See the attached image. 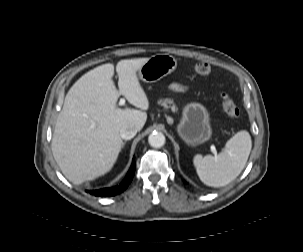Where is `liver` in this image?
I'll return each mask as SVG.
<instances>
[{
  "label": "liver",
  "mask_w": 303,
  "mask_h": 252,
  "mask_svg": "<svg viewBox=\"0 0 303 252\" xmlns=\"http://www.w3.org/2000/svg\"><path fill=\"white\" fill-rule=\"evenodd\" d=\"M149 58L120 60L116 65L118 87L113 82L114 65H100L80 77L68 91L52 138V152L64 176L74 184L91 181L109 172L122 147L120 129L147 120L149 101L137 71ZM120 95L143 110L117 107ZM94 125V126H92Z\"/></svg>",
  "instance_id": "obj_1"
}]
</instances>
